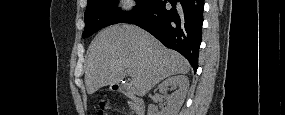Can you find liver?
<instances>
[{
	"instance_id": "1",
	"label": "liver",
	"mask_w": 285,
	"mask_h": 115,
	"mask_svg": "<svg viewBox=\"0 0 285 115\" xmlns=\"http://www.w3.org/2000/svg\"><path fill=\"white\" fill-rule=\"evenodd\" d=\"M127 69L131 71L132 91L144 96L161 80L187 74L190 64L137 26H110L99 32L90 47L85 71L87 93L120 83Z\"/></svg>"
}]
</instances>
